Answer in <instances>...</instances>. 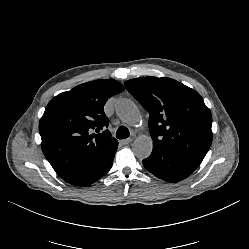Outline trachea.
<instances>
[{"label": "trachea", "mask_w": 249, "mask_h": 249, "mask_svg": "<svg viewBox=\"0 0 249 249\" xmlns=\"http://www.w3.org/2000/svg\"><path fill=\"white\" fill-rule=\"evenodd\" d=\"M129 136H130V132H129L128 128H126L125 126H120L117 129L116 137L118 139H125V138H128Z\"/></svg>", "instance_id": "obj_1"}]
</instances>
